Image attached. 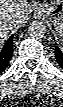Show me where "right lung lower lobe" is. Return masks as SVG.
Instances as JSON below:
<instances>
[{"label":"right lung lower lobe","mask_w":63,"mask_h":107,"mask_svg":"<svg viewBox=\"0 0 63 107\" xmlns=\"http://www.w3.org/2000/svg\"><path fill=\"white\" fill-rule=\"evenodd\" d=\"M13 35L8 39L3 49L0 51V73L7 67L13 52Z\"/></svg>","instance_id":"right-lung-lower-lobe-1"}]
</instances>
